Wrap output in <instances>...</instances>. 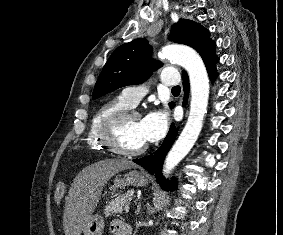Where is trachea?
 <instances>
[{"label": "trachea", "mask_w": 283, "mask_h": 235, "mask_svg": "<svg viewBox=\"0 0 283 235\" xmlns=\"http://www.w3.org/2000/svg\"><path fill=\"white\" fill-rule=\"evenodd\" d=\"M173 92H180V86H175L172 88Z\"/></svg>", "instance_id": "obj_1"}]
</instances>
